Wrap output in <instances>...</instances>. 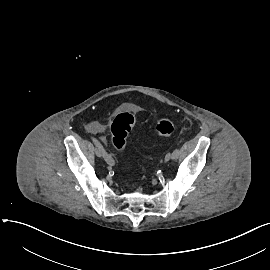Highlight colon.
I'll return each instance as SVG.
<instances>
[{
    "label": "colon",
    "mask_w": 270,
    "mask_h": 270,
    "mask_svg": "<svg viewBox=\"0 0 270 270\" xmlns=\"http://www.w3.org/2000/svg\"><path fill=\"white\" fill-rule=\"evenodd\" d=\"M135 118L128 112L117 115L111 122L110 133L113 147L124 152L127 136L132 129ZM176 125L170 116H163L156 122V131L161 136H168L175 131Z\"/></svg>",
    "instance_id": "5ec220e1"
}]
</instances>
